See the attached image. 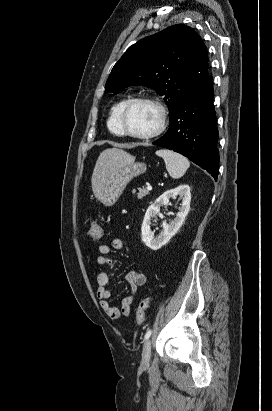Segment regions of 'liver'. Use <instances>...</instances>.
I'll list each match as a JSON object with an SVG mask.
<instances>
[{"label": "liver", "mask_w": 272, "mask_h": 411, "mask_svg": "<svg viewBox=\"0 0 272 411\" xmlns=\"http://www.w3.org/2000/svg\"><path fill=\"white\" fill-rule=\"evenodd\" d=\"M131 160L132 156L122 149L109 148L100 153L91 179L92 191L98 199L109 176Z\"/></svg>", "instance_id": "obj_1"}]
</instances>
